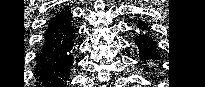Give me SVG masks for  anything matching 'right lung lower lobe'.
Returning <instances> with one entry per match:
<instances>
[{"mask_svg": "<svg viewBox=\"0 0 205 87\" xmlns=\"http://www.w3.org/2000/svg\"><path fill=\"white\" fill-rule=\"evenodd\" d=\"M69 11L61 10L48 22L38 54L35 75L41 87H66L74 63L76 27ZM40 87V86H38Z\"/></svg>", "mask_w": 205, "mask_h": 87, "instance_id": "98d812e1", "label": "right lung lower lobe"}]
</instances>
